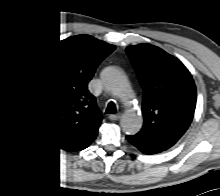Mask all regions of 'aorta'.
Returning a JSON list of instances; mask_svg holds the SVG:
<instances>
[{
  "label": "aorta",
  "instance_id": "1",
  "mask_svg": "<svg viewBox=\"0 0 220 196\" xmlns=\"http://www.w3.org/2000/svg\"><path fill=\"white\" fill-rule=\"evenodd\" d=\"M104 82L121 100L129 107L134 94L127 78L116 69L107 70L103 75ZM143 119L140 113L133 109H127L121 119V126L128 134L137 133L142 127Z\"/></svg>",
  "mask_w": 220,
  "mask_h": 196
}]
</instances>
